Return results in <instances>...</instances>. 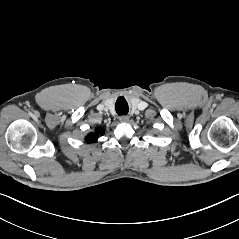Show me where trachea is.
<instances>
[{"mask_svg":"<svg viewBox=\"0 0 239 239\" xmlns=\"http://www.w3.org/2000/svg\"><path fill=\"white\" fill-rule=\"evenodd\" d=\"M115 109L119 115H126L128 113V105L121 102V100H117Z\"/></svg>","mask_w":239,"mask_h":239,"instance_id":"3493384b","label":"trachea"}]
</instances>
